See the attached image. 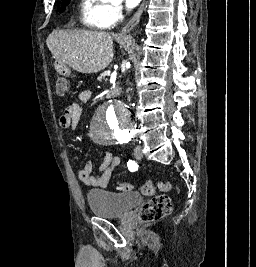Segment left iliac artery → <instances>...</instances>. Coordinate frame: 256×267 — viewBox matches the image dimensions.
Here are the masks:
<instances>
[{
	"label": "left iliac artery",
	"instance_id": "obj_1",
	"mask_svg": "<svg viewBox=\"0 0 256 267\" xmlns=\"http://www.w3.org/2000/svg\"><path fill=\"white\" fill-rule=\"evenodd\" d=\"M122 143H123V142H121V144H122ZM127 166H128V169H129L130 171H132V170H137V169H138V165H137V163H136L135 161H132V160H129V161H128Z\"/></svg>",
	"mask_w": 256,
	"mask_h": 267
}]
</instances>
